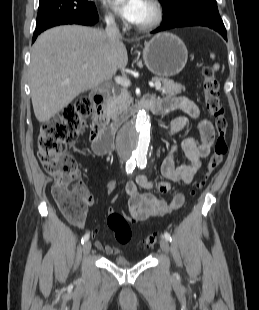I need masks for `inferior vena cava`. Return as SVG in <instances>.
I'll use <instances>...</instances> for the list:
<instances>
[{
    "mask_svg": "<svg viewBox=\"0 0 259 310\" xmlns=\"http://www.w3.org/2000/svg\"><path fill=\"white\" fill-rule=\"evenodd\" d=\"M107 26L105 29V34L108 37V39L112 42L118 41L121 39V34L119 32V29L114 21V19H108L106 21Z\"/></svg>",
    "mask_w": 259,
    "mask_h": 310,
    "instance_id": "inferior-vena-cava-1",
    "label": "inferior vena cava"
}]
</instances>
